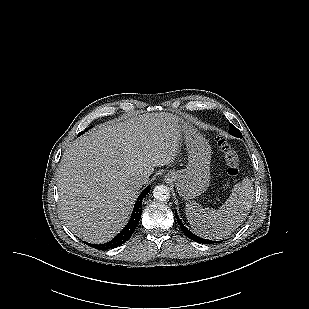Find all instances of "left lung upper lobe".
<instances>
[{
    "label": "left lung upper lobe",
    "mask_w": 309,
    "mask_h": 309,
    "mask_svg": "<svg viewBox=\"0 0 309 309\" xmlns=\"http://www.w3.org/2000/svg\"><path fill=\"white\" fill-rule=\"evenodd\" d=\"M229 133L235 137L242 138L241 132L231 123H229Z\"/></svg>",
    "instance_id": "5c2ea615"
}]
</instances>
